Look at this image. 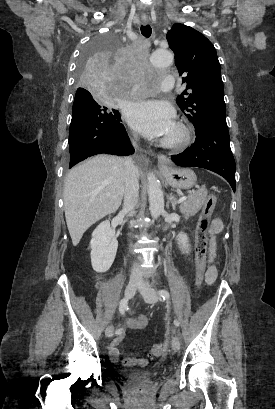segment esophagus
<instances>
[{
    "instance_id": "esophagus-1",
    "label": "esophagus",
    "mask_w": 275,
    "mask_h": 409,
    "mask_svg": "<svg viewBox=\"0 0 275 409\" xmlns=\"http://www.w3.org/2000/svg\"><path fill=\"white\" fill-rule=\"evenodd\" d=\"M141 23L147 24L148 23V17H141ZM161 159H166V156L163 154H160L158 157V160ZM144 162H148V159L146 157H143Z\"/></svg>"
}]
</instances>
